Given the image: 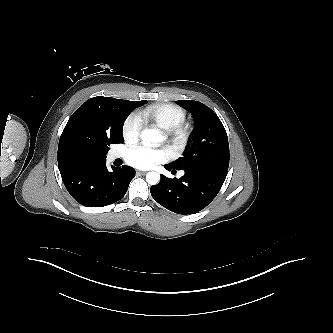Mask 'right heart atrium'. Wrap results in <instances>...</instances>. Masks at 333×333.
I'll use <instances>...</instances> for the list:
<instances>
[{
	"instance_id": "1",
	"label": "right heart atrium",
	"mask_w": 333,
	"mask_h": 333,
	"mask_svg": "<svg viewBox=\"0 0 333 333\" xmlns=\"http://www.w3.org/2000/svg\"><path fill=\"white\" fill-rule=\"evenodd\" d=\"M142 131V120L137 113H132L126 117L122 125V135L124 140L133 144L138 141Z\"/></svg>"
}]
</instances>
